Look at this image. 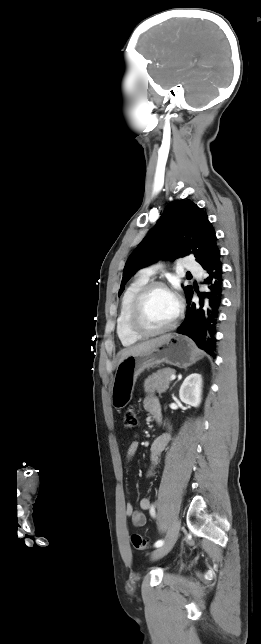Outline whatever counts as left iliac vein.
I'll return each instance as SVG.
<instances>
[{
    "label": "left iliac vein",
    "instance_id": "4c4485c4",
    "mask_svg": "<svg viewBox=\"0 0 261 644\" xmlns=\"http://www.w3.org/2000/svg\"><path fill=\"white\" fill-rule=\"evenodd\" d=\"M180 526L181 524L178 518L171 522L165 543L152 552V559L156 560L165 556L173 548L178 538Z\"/></svg>",
    "mask_w": 261,
    "mask_h": 644
}]
</instances>
